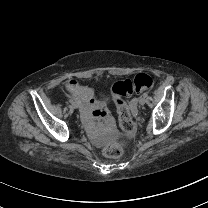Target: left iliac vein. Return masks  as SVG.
<instances>
[{"label":"left iliac vein","mask_w":208,"mask_h":208,"mask_svg":"<svg viewBox=\"0 0 208 208\" xmlns=\"http://www.w3.org/2000/svg\"><path fill=\"white\" fill-rule=\"evenodd\" d=\"M145 102H146V97L143 96V97H140V98H139V104H140V105H144Z\"/></svg>","instance_id":"left-iliac-vein-1"}]
</instances>
